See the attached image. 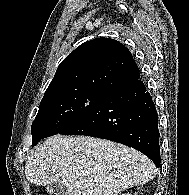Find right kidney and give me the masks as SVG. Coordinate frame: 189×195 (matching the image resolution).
I'll return each instance as SVG.
<instances>
[{
  "label": "right kidney",
  "mask_w": 189,
  "mask_h": 195,
  "mask_svg": "<svg viewBox=\"0 0 189 195\" xmlns=\"http://www.w3.org/2000/svg\"><path fill=\"white\" fill-rule=\"evenodd\" d=\"M122 195H137L136 193L132 194V193H127V194H122Z\"/></svg>",
  "instance_id": "obj_1"
}]
</instances>
